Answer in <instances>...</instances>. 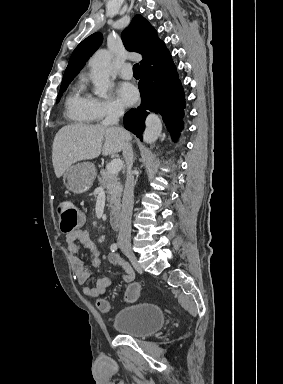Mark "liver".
Instances as JSON below:
<instances>
[{"label": "liver", "mask_w": 283, "mask_h": 384, "mask_svg": "<svg viewBox=\"0 0 283 384\" xmlns=\"http://www.w3.org/2000/svg\"><path fill=\"white\" fill-rule=\"evenodd\" d=\"M104 142V146H102ZM124 136L114 126H87L71 124L57 132L52 148V162L57 178H61L67 168L82 160H94L102 156L118 154L123 150Z\"/></svg>", "instance_id": "liver-1"}]
</instances>
